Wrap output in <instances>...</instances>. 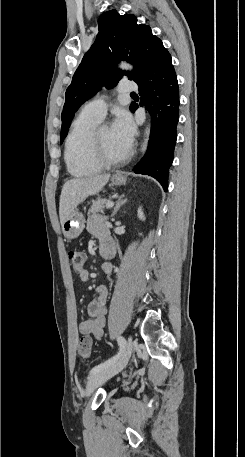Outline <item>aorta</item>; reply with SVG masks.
<instances>
[{"instance_id":"1","label":"aorta","mask_w":245,"mask_h":457,"mask_svg":"<svg viewBox=\"0 0 245 457\" xmlns=\"http://www.w3.org/2000/svg\"><path fill=\"white\" fill-rule=\"evenodd\" d=\"M120 68L126 69V70H131V69H133V67H132L130 64L125 63V62H122V63L120 64ZM149 136H150V127H147V128L145 129V139H144V142H143V144H142V146H141V151H145V150H146L147 144H148V140H149Z\"/></svg>"}]
</instances>
